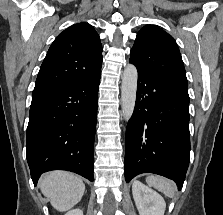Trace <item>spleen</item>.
<instances>
[{
  "mask_svg": "<svg viewBox=\"0 0 223 215\" xmlns=\"http://www.w3.org/2000/svg\"><path fill=\"white\" fill-rule=\"evenodd\" d=\"M146 181L148 185H152V187H155V189L163 191L165 195H169V197H174L176 187L175 185H173L170 179H166V177H161V175H148V177H146Z\"/></svg>",
  "mask_w": 223,
  "mask_h": 215,
  "instance_id": "1",
  "label": "spleen"
}]
</instances>
